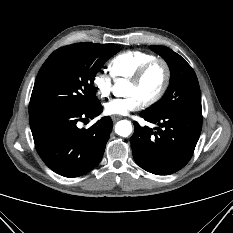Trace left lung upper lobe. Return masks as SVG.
Returning a JSON list of instances; mask_svg holds the SVG:
<instances>
[{
    "mask_svg": "<svg viewBox=\"0 0 233 233\" xmlns=\"http://www.w3.org/2000/svg\"><path fill=\"white\" fill-rule=\"evenodd\" d=\"M150 49L168 63L171 78L163 98L144 112L150 116H160L180 109L201 111L199 83L191 66L183 57L165 46L152 45Z\"/></svg>",
    "mask_w": 233,
    "mask_h": 233,
    "instance_id": "obj_1",
    "label": "left lung upper lobe"
}]
</instances>
